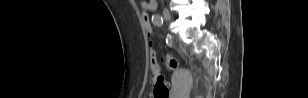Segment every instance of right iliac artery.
Segmentation results:
<instances>
[{"label": "right iliac artery", "mask_w": 308, "mask_h": 98, "mask_svg": "<svg viewBox=\"0 0 308 98\" xmlns=\"http://www.w3.org/2000/svg\"><path fill=\"white\" fill-rule=\"evenodd\" d=\"M152 22L156 26H162L163 25V18L159 14H155L152 16Z\"/></svg>", "instance_id": "obj_1"}]
</instances>
